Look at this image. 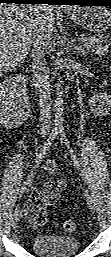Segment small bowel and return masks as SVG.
Returning <instances> with one entry per match:
<instances>
[{
	"label": "small bowel",
	"mask_w": 111,
	"mask_h": 257,
	"mask_svg": "<svg viewBox=\"0 0 111 257\" xmlns=\"http://www.w3.org/2000/svg\"><path fill=\"white\" fill-rule=\"evenodd\" d=\"M44 169L49 174L58 172V166L52 160L45 162ZM66 185L63 176H60L57 181H47L43 185V193L41 195L34 193L27 202L25 207L26 220L34 226L43 224L46 220V209L58 200Z\"/></svg>",
	"instance_id": "obj_1"
}]
</instances>
